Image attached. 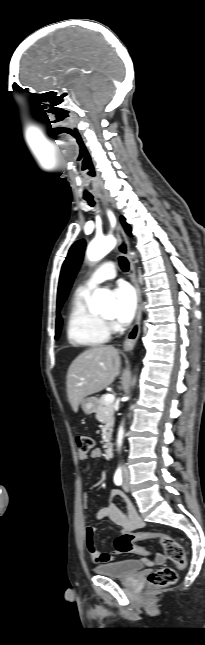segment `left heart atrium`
Here are the masks:
<instances>
[{"mask_svg":"<svg viewBox=\"0 0 205 645\" xmlns=\"http://www.w3.org/2000/svg\"><path fill=\"white\" fill-rule=\"evenodd\" d=\"M115 302L114 317L120 324L129 323L137 309V297L134 290L125 283H120L113 290Z\"/></svg>","mask_w":205,"mask_h":645,"instance_id":"left-heart-atrium-1","label":"left heart atrium"}]
</instances>
